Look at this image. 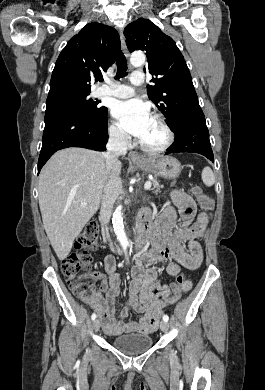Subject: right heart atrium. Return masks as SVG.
<instances>
[{
	"instance_id": "right-heart-atrium-1",
	"label": "right heart atrium",
	"mask_w": 265,
	"mask_h": 390,
	"mask_svg": "<svg viewBox=\"0 0 265 390\" xmlns=\"http://www.w3.org/2000/svg\"><path fill=\"white\" fill-rule=\"evenodd\" d=\"M108 132L110 139L114 143L122 146L128 144V135L116 123H112L109 125Z\"/></svg>"
}]
</instances>
